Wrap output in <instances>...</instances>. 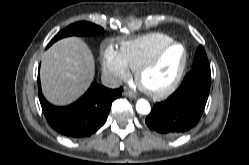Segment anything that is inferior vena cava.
<instances>
[{
    "mask_svg": "<svg viewBox=\"0 0 249 165\" xmlns=\"http://www.w3.org/2000/svg\"><path fill=\"white\" fill-rule=\"evenodd\" d=\"M101 81L102 84L108 88H118L122 85L121 79L112 74L103 75Z\"/></svg>",
    "mask_w": 249,
    "mask_h": 165,
    "instance_id": "602c4592",
    "label": "inferior vena cava"
}]
</instances>
